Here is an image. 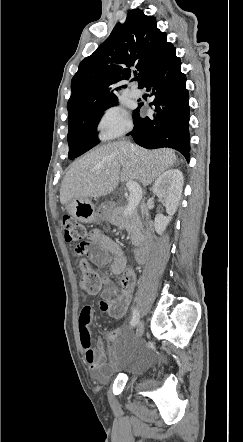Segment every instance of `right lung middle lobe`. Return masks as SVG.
Instances as JSON below:
<instances>
[{
  "label": "right lung middle lobe",
  "instance_id": "right-lung-middle-lobe-1",
  "mask_svg": "<svg viewBox=\"0 0 243 442\" xmlns=\"http://www.w3.org/2000/svg\"><path fill=\"white\" fill-rule=\"evenodd\" d=\"M117 103L118 99L114 98L69 120V159L73 160L99 143L96 133L99 119L106 109Z\"/></svg>",
  "mask_w": 243,
  "mask_h": 442
}]
</instances>
